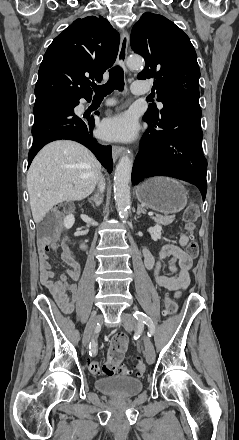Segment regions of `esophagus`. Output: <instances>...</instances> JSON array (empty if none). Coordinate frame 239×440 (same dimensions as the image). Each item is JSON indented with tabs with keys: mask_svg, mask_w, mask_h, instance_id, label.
<instances>
[{
	"mask_svg": "<svg viewBox=\"0 0 239 440\" xmlns=\"http://www.w3.org/2000/svg\"><path fill=\"white\" fill-rule=\"evenodd\" d=\"M128 43H129L128 32H122L121 39H120V45H119V53H118V56H117V63L119 65H121V67L126 72H127L126 58H127ZM124 152H125V148L124 147L114 145L113 148H112L113 161L116 162V160Z\"/></svg>",
	"mask_w": 239,
	"mask_h": 440,
	"instance_id": "34e87169",
	"label": "esophagus"
}]
</instances>
